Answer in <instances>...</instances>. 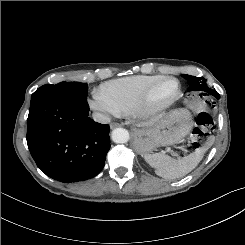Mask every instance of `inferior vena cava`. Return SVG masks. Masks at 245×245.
I'll return each instance as SVG.
<instances>
[{
    "label": "inferior vena cava",
    "mask_w": 245,
    "mask_h": 245,
    "mask_svg": "<svg viewBox=\"0 0 245 245\" xmlns=\"http://www.w3.org/2000/svg\"><path fill=\"white\" fill-rule=\"evenodd\" d=\"M92 117L95 121L102 123V124H107L110 122V118L107 115L99 113V112H94L92 114Z\"/></svg>",
    "instance_id": "1"
}]
</instances>
